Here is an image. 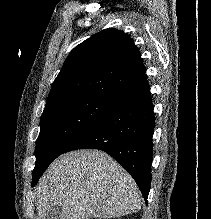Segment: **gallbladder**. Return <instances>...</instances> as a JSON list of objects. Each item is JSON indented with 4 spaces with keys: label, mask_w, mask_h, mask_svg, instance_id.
<instances>
[{
    "label": "gallbladder",
    "mask_w": 211,
    "mask_h": 219,
    "mask_svg": "<svg viewBox=\"0 0 211 219\" xmlns=\"http://www.w3.org/2000/svg\"><path fill=\"white\" fill-rule=\"evenodd\" d=\"M60 212H61L60 206H53L47 211L46 219H60L59 218Z\"/></svg>",
    "instance_id": "obj_1"
}]
</instances>
